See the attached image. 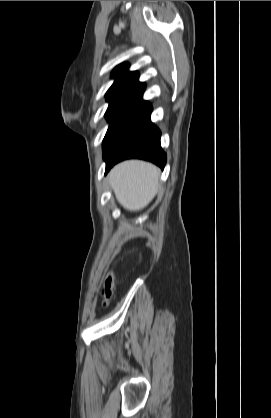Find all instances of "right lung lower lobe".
<instances>
[{"label":"right lung lower lobe","instance_id":"obj_1","mask_svg":"<svg viewBox=\"0 0 271 418\" xmlns=\"http://www.w3.org/2000/svg\"><path fill=\"white\" fill-rule=\"evenodd\" d=\"M151 111L123 131L104 151L105 173L114 164L129 158L144 159L164 168L167 157L160 145L161 132L150 121Z\"/></svg>","mask_w":271,"mask_h":418}]
</instances>
